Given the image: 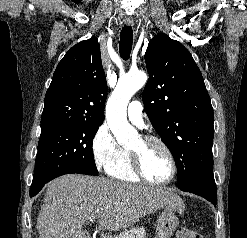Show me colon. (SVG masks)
I'll use <instances>...</instances> for the list:
<instances>
[{
  "label": "colon",
  "instance_id": "1",
  "mask_svg": "<svg viewBox=\"0 0 247 238\" xmlns=\"http://www.w3.org/2000/svg\"><path fill=\"white\" fill-rule=\"evenodd\" d=\"M176 238H203V236L195 230L181 227L176 232Z\"/></svg>",
  "mask_w": 247,
  "mask_h": 238
}]
</instances>
